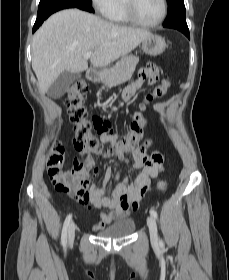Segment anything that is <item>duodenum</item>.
Returning <instances> with one entry per match:
<instances>
[{
    "label": "duodenum",
    "mask_w": 229,
    "mask_h": 280,
    "mask_svg": "<svg viewBox=\"0 0 229 280\" xmlns=\"http://www.w3.org/2000/svg\"><path fill=\"white\" fill-rule=\"evenodd\" d=\"M86 77L89 81H92V82L97 81V79L99 77V72L90 70L86 73Z\"/></svg>",
    "instance_id": "1"
}]
</instances>
